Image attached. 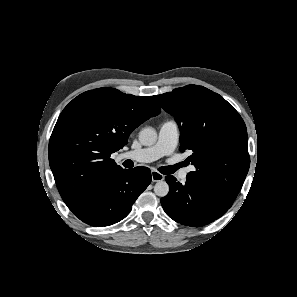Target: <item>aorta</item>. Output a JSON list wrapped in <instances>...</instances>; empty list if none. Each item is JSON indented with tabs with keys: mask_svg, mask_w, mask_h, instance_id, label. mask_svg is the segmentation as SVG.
<instances>
[{
	"mask_svg": "<svg viewBox=\"0 0 297 297\" xmlns=\"http://www.w3.org/2000/svg\"><path fill=\"white\" fill-rule=\"evenodd\" d=\"M157 140V132L151 127L143 128L139 132V141L144 146H151ZM154 192L159 197H165L169 192V185L166 181L160 180L154 186Z\"/></svg>",
	"mask_w": 297,
	"mask_h": 297,
	"instance_id": "762f6f07",
	"label": "aorta"
}]
</instances>
